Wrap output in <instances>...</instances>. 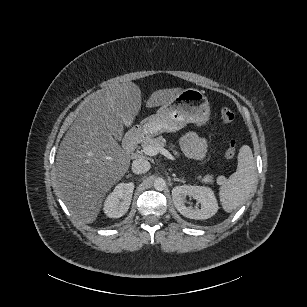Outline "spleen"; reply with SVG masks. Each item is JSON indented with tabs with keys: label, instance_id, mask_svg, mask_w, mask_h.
I'll list each match as a JSON object with an SVG mask.
<instances>
[{
	"label": "spleen",
	"instance_id": "3e777b00",
	"mask_svg": "<svg viewBox=\"0 0 307 307\" xmlns=\"http://www.w3.org/2000/svg\"><path fill=\"white\" fill-rule=\"evenodd\" d=\"M257 187V174L252 151L248 146L241 148L237 170L225 180L220 188L224 208L231 211L250 197Z\"/></svg>",
	"mask_w": 307,
	"mask_h": 307
}]
</instances>
